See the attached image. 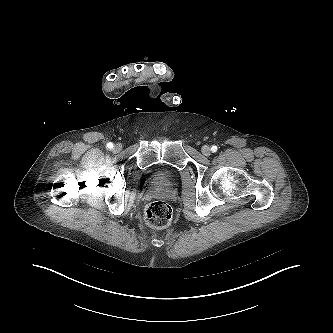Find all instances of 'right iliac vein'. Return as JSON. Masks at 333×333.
I'll use <instances>...</instances> for the list:
<instances>
[{
  "mask_svg": "<svg viewBox=\"0 0 333 333\" xmlns=\"http://www.w3.org/2000/svg\"><path fill=\"white\" fill-rule=\"evenodd\" d=\"M121 148H122V147H121L120 144H116V145L114 146V149H113V150H114L115 152H118V151L121 150Z\"/></svg>",
  "mask_w": 333,
  "mask_h": 333,
  "instance_id": "63e3f726",
  "label": "right iliac vein"
}]
</instances>
